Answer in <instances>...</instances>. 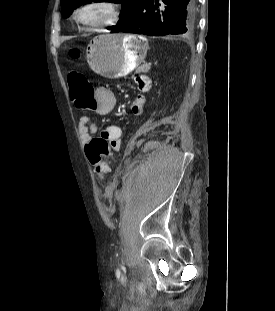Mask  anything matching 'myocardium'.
I'll return each mask as SVG.
<instances>
[{
    "mask_svg": "<svg viewBox=\"0 0 275 311\" xmlns=\"http://www.w3.org/2000/svg\"><path fill=\"white\" fill-rule=\"evenodd\" d=\"M103 11L104 17L98 20L88 18L91 10ZM122 18V9L115 0H89L77 6L71 13V19L77 26L85 29H97L117 25Z\"/></svg>",
    "mask_w": 275,
    "mask_h": 311,
    "instance_id": "f54148a6",
    "label": "myocardium"
}]
</instances>
